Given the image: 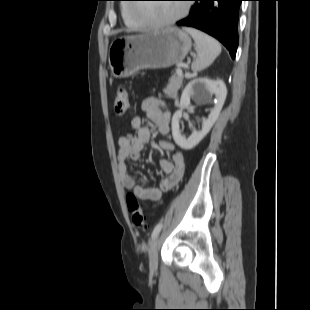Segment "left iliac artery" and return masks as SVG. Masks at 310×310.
I'll return each mask as SVG.
<instances>
[{
	"instance_id": "44dca946",
	"label": "left iliac artery",
	"mask_w": 310,
	"mask_h": 310,
	"mask_svg": "<svg viewBox=\"0 0 310 310\" xmlns=\"http://www.w3.org/2000/svg\"><path fill=\"white\" fill-rule=\"evenodd\" d=\"M161 228H162V223L160 222V223H158V224L155 226V228L153 229V232H152V234H151V238H152V239H154V238L159 234Z\"/></svg>"
}]
</instances>
